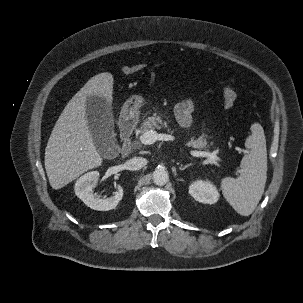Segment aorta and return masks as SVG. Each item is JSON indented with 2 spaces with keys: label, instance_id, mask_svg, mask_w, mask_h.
<instances>
[{
  "label": "aorta",
  "instance_id": "obj_1",
  "mask_svg": "<svg viewBox=\"0 0 303 303\" xmlns=\"http://www.w3.org/2000/svg\"><path fill=\"white\" fill-rule=\"evenodd\" d=\"M169 180L168 172L164 168H157L153 172V182L158 185L162 186L165 185Z\"/></svg>",
  "mask_w": 303,
  "mask_h": 303
}]
</instances>
